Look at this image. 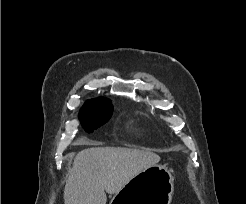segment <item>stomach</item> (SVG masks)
<instances>
[{"label": "stomach", "mask_w": 246, "mask_h": 204, "mask_svg": "<svg viewBox=\"0 0 246 204\" xmlns=\"http://www.w3.org/2000/svg\"><path fill=\"white\" fill-rule=\"evenodd\" d=\"M174 178L165 167L154 165L134 176L110 204H170Z\"/></svg>", "instance_id": "0dacf381"}]
</instances>
